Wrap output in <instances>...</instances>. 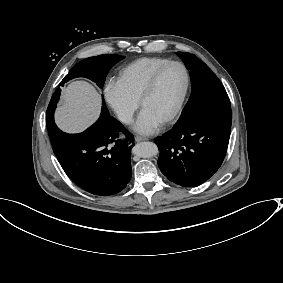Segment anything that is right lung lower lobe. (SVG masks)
<instances>
[{
    "instance_id": "98d812e1",
    "label": "right lung lower lobe",
    "mask_w": 283,
    "mask_h": 283,
    "mask_svg": "<svg viewBox=\"0 0 283 283\" xmlns=\"http://www.w3.org/2000/svg\"><path fill=\"white\" fill-rule=\"evenodd\" d=\"M55 107L51 99L46 124L49 136L56 139L53 151L67 176L94 195L109 196L123 190L132 176L133 135L109 115L107 108H102L98 121L83 133H64L55 125Z\"/></svg>"
}]
</instances>
